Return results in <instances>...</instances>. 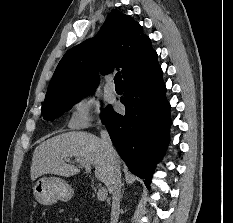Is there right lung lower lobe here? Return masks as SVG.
Segmentation results:
<instances>
[{
    "label": "right lung lower lobe",
    "mask_w": 233,
    "mask_h": 223,
    "mask_svg": "<svg viewBox=\"0 0 233 223\" xmlns=\"http://www.w3.org/2000/svg\"><path fill=\"white\" fill-rule=\"evenodd\" d=\"M124 115L111 105L101 111L113 144L130 171L148 186L169 142L170 105L158 62L124 80Z\"/></svg>",
    "instance_id": "right-lung-lower-lobe-1"
}]
</instances>
